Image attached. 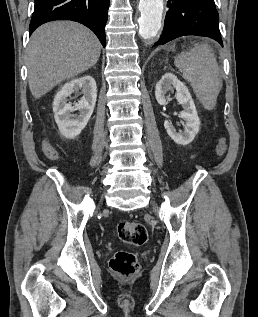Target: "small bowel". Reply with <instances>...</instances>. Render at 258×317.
<instances>
[{"mask_svg": "<svg viewBox=\"0 0 258 317\" xmlns=\"http://www.w3.org/2000/svg\"><path fill=\"white\" fill-rule=\"evenodd\" d=\"M41 149L47 158L55 159L57 157V152H56L55 148L53 147V145L49 141H47V140L42 141Z\"/></svg>", "mask_w": 258, "mask_h": 317, "instance_id": "c3829d8e", "label": "small bowel"}]
</instances>
